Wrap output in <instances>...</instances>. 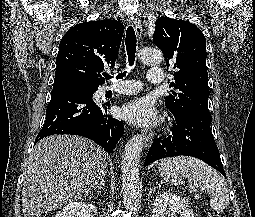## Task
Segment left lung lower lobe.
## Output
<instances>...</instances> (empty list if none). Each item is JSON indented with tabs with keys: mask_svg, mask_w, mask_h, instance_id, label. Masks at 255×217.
Wrapping results in <instances>:
<instances>
[{
	"mask_svg": "<svg viewBox=\"0 0 255 217\" xmlns=\"http://www.w3.org/2000/svg\"><path fill=\"white\" fill-rule=\"evenodd\" d=\"M177 127L163 140L156 139L145 159V166L150 163L178 155L198 158L226 177L217 145L210 129V112L193 109L183 116L176 117Z\"/></svg>",
	"mask_w": 255,
	"mask_h": 217,
	"instance_id": "0a47b994",
	"label": "left lung lower lobe"
}]
</instances>
